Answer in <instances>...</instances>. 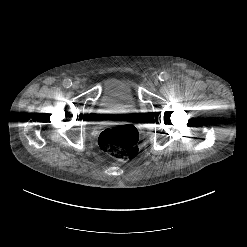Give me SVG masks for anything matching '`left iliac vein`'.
<instances>
[{
  "label": "left iliac vein",
  "instance_id": "left-iliac-vein-1",
  "mask_svg": "<svg viewBox=\"0 0 247 247\" xmlns=\"http://www.w3.org/2000/svg\"><path fill=\"white\" fill-rule=\"evenodd\" d=\"M153 84H154V85H157V84H158V79H157V78H155V79L153 80Z\"/></svg>",
  "mask_w": 247,
  "mask_h": 247
}]
</instances>
